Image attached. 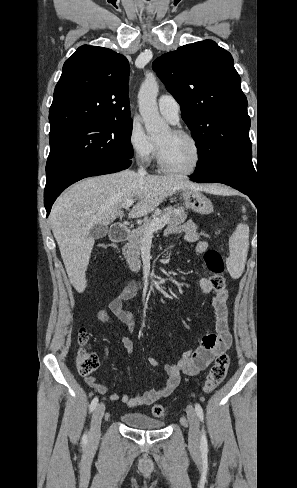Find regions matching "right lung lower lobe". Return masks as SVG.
<instances>
[{
	"mask_svg": "<svg viewBox=\"0 0 297 488\" xmlns=\"http://www.w3.org/2000/svg\"><path fill=\"white\" fill-rule=\"evenodd\" d=\"M131 163V160H109L90 163L66 174L52 185L46 186L44 190V205L47 211V216L49 215L52 204L56 198L71 184L86 177L110 174L127 169Z\"/></svg>",
	"mask_w": 297,
	"mask_h": 488,
	"instance_id": "1",
	"label": "right lung lower lobe"
}]
</instances>
